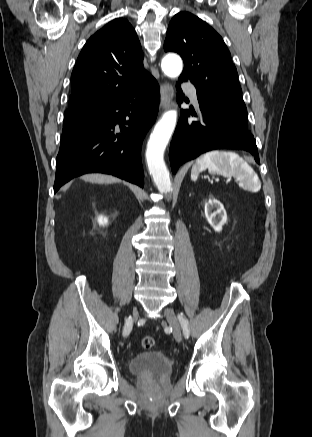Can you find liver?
Masks as SVG:
<instances>
[{
  "instance_id": "1",
  "label": "liver",
  "mask_w": 312,
  "mask_h": 437,
  "mask_svg": "<svg viewBox=\"0 0 312 437\" xmlns=\"http://www.w3.org/2000/svg\"><path fill=\"white\" fill-rule=\"evenodd\" d=\"M82 179L87 182L98 184H110L120 181L118 178L104 174H87L82 176Z\"/></svg>"
}]
</instances>
